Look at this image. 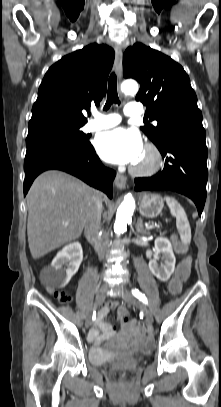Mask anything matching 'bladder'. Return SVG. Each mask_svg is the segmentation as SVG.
I'll list each match as a JSON object with an SVG mask.
<instances>
[{
  "label": "bladder",
  "instance_id": "obj_1",
  "mask_svg": "<svg viewBox=\"0 0 221 407\" xmlns=\"http://www.w3.org/2000/svg\"><path fill=\"white\" fill-rule=\"evenodd\" d=\"M118 355L109 347H92L89 350V361L93 365H103L117 359Z\"/></svg>",
  "mask_w": 221,
  "mask_h": 407
}]
</instances>
